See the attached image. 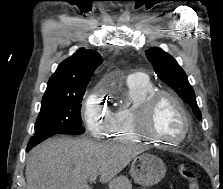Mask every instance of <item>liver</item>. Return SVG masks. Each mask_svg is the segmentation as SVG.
I'll list each match as a JSON object with an SVG mask.
<instances>
[{"label": "liver", "instance_id": "liver-1", "mask_svg": "<svg viewBox=\"0 0 223 189\" xmlns=\"http://www.w3.org/2000/svg\"><path fill=\"white\" fill-rule=\"evenodd\" d=\"M143 148L135 144L98 143L89 138L54 137L33 148L26 162V189H91L88 180H113ZM113 180V181H112Z\"/></svg>", "mask_w": 223, "mask_h": 189}]
</instances>
